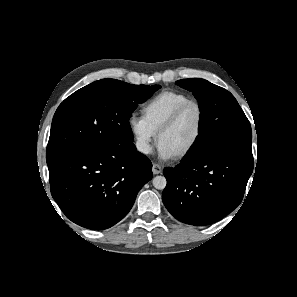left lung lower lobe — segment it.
<instances>
[{"label":"left lung lower lobe","instance_id":"left-lung-lower-lobe-1","mask_svg":"<svg viewBox=\"0 0 297 297\" xmlns=\"http://www.w3.org/2000/svg\"><path fill=\"white\" fill-rule=\"evenodd\" d=\"M252 171L253 160L226 152L184 158L163 170V203L183 223L212 224L238 207Z\"/></svg>","mask_w":297,"mask_h":297}]
</instances>
